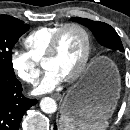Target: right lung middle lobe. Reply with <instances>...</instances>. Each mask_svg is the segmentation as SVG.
I'll return each mask as SVG.
<instances>
[{
	"label": "right lung middle lobe",
	"instance_id": "1",
	"mask_svg": "<svg viewBox=\"0 0 130 130\" xmlns=\"http://www.w3.org/2000/svg\"><path fill=\"white\" fill-rule=\"evenodd\" d=\"M30 26L19 19L8 15H0V69L14 74L12 65V47Z\"/></svg>",
	"mask_w": 130,
	"mask_h": 130
}]
</instances>
